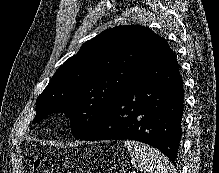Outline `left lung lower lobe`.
I'll use <instances>...</instances> for the list:
<instances>
[{
    "label": "left lung lower lobe",
    "mask_w": 219,
    "mask_h": 173,
    "mask_svg": "<svg viewBox=\"0 0 219 173\" xmlns=\"http://www.w3.org/2000/svg\"><path fill=\"white\" fill-rule=\"evenodd\" d=\"M183 102V81L177 60L164 41L139 69L137 82L80 139L144 142L159 149L175 165Z\"/></svg>",
    "instance_id": "obj_1"
}]
</instances>
